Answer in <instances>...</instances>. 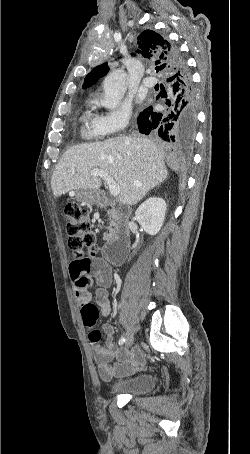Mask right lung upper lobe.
I'll list each match as a JSON object with an SVG mask.
<instances>
[{
  "mask_svg": "<svg viewBox=\"0 0 250 454\" xmlns=\"http://www.w3.org/2000/svg\"><path fill=\"white\" fill-rule=\"evenodd\" d=\"M138 45L140 50L137 53L155 62L156 71H160L164 76L169 73L172 68L170 59V43L160 34L145 30L138 36ZM109 71L107 63H103L95 67L84 79L83 88L90 87L97 82L98 79L106 75Z\"/></svg>",
  "mask_w": 250,
  "mask_h": 454,
  "instance_id": "right-lung-upper-lobe-1",
  "label": "right lung upper lobe"
}]
</instances>
